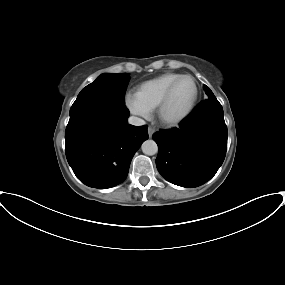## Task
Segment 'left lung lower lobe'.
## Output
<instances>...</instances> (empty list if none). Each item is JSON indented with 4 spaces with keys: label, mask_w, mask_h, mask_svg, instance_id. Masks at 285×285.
Wrapping results in <instances>:
<instances>
[{
    "label": "left lung lower lobe",
    "mask_w": 285,
    "mask_h": 285,
    "mask_svg": "<svg viewBox=\"0 0 285 285\" xmlns=\"http://www.w3.org/2000/svg\"><path fill=\"white\" fill-rule=\"evenodd\" d=\"M156 166L169 182L193 188L210 180L222 165L228 132L216 97L202 101L178 128L160 130Z\"/></svg>",
    "instance_id": "left-lung-lower-lobe-1"
}]
</instances>
